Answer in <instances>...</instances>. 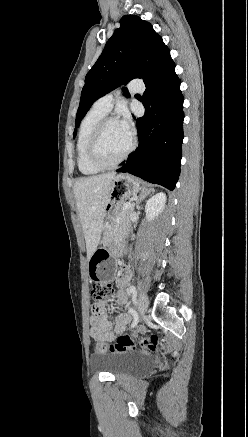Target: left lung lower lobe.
<instances>
[{"mask_svg": "<svg viewBox=\"0 0 248 437\" xmlns=\"http://www.w3.org/2000/svg\"><path fill=\"white\" fill-rule=\"evenodd\" d=\"M145 85V114L136 119L139 147L117 172H128L173 190L180 174L184 137V99L174 62Z\"/></svg>", "mask_w": 248, "mask_h": 437, "instance_id": "obj_1", "label": "left lung lower lobe"}]
</instances>
